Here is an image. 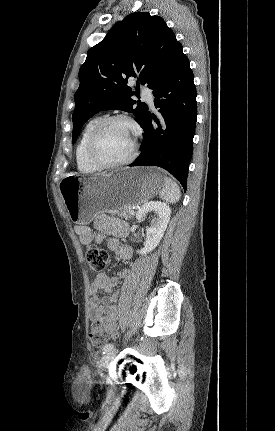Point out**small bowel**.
<instances>
[{
  "mask_svg": "<svg viewBox=\"0 0 275 431\" xmlns=\"http://www.w3.org/2000/svg\"><path fill=\"white\" fill-rule=\"evenodd\" d=\"M75 232L84 245H90L93 241L100 243L109 235L111 237L107 239L108 247L117 257L124 261L132 257V248L120 241L128 234L127 224L120 220L103 216L96 220L95 230L86 225H77L75 226ZM128 274L129 271L123 269L119 272V277L125 278ZM118 281V277L100 273L90 285V320L99 322L105 332L113 338L118 335L117 327L121 313V307L118 304L119 292H114ZM100 291L110 295L99 297L98 293Z\"/></svg>",
  "mask_w": 275,
  "mask_h": 431,
  "instance_id": "small-bowel-1",
  "label": "small bowel"
}]
</instances>
